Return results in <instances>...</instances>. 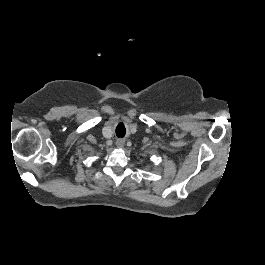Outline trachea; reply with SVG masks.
<instances>
[{
  "label": "trachea",
  "mask_w": 265,
  "mask_h": 265,
  "mask_svg": "<svg viewBox=\"0 0 265 265\" xmlns=\"http://www.w3.org/2000/svg\"><path fill=\"white\" fill-rule=\"evenodd\" d=\"M125 132V127L122 124L120 126H117L116 135L118 138H123L125 136Z\"/></svg>",
  "instance_id": "3493384b"
}]
</instances>
